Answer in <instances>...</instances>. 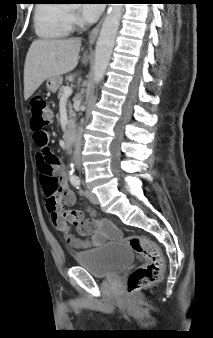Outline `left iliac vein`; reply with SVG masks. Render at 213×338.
I'll return each mask as SVG.
<instances>
[{
	"instance_id": "obj_1",
	"label": "left iliac vein",
	"mask_w": 213,
	"mask_h": 338,
	"mask_svg": "<svg viewBox=\"0 0 213 338\" xmlns=\"http://www.w3.org/2000/svg\"><path fill=\"white\" fill-rule=\"evenodd\" d=\"M86 193H87V196H88L91 203H93V204L99 203L97 196L93 192L87 190Z\"/></svg>"
}]
</instances>
